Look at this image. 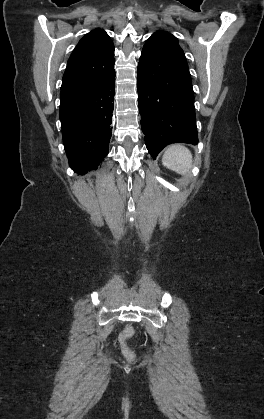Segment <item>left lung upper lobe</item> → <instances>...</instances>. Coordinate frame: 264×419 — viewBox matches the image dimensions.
Segmentation results:
<instances>
[{
    "mask_svg": "<svg viewBox=\"0 0 264 419\" xmlns=\"http://www.w3.org/2000/svg\"><path fill=\"white\" fill-rule=\"evenodd\" d=\"M157 34H169V35H171L170 33H167V32H164V31H158V32H156ZM155 34V33H154ZM175 40H176V42L178 43V40L173 36V35H171ZM179 46V45H178Z\"/></svg>",
    "mask_w": 264,
    "mask_h": 419,
    "instance_id": "obj_1",
    "label": "left lung upper lobe"
}]
</instances>
